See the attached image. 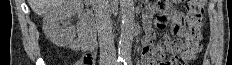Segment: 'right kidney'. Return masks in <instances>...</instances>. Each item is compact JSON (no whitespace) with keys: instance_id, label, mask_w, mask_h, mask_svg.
I'll return each mask as SVG.
<instances>
[{"instance_id":"right-kidney-1","label":"right kidney","mask_w":232,"mask_h":65,"mask_svg":"<svg viewBox=\"0 0 232 65\" xmlns=\"http://www.w3.org/2000/svg\"><path fill=\"white\" fill-rule=\"evenodd\" d=\"M75 13L76 8L72 1L65 0L44 16V33L56 46L65 47L75 38V27L66 23V20L70 19ZM62 23H64L63 27L60 25Z\"/></svg>"}]
</instances>
